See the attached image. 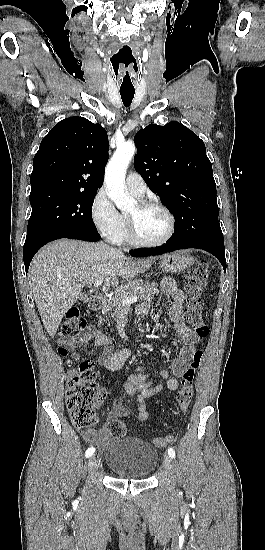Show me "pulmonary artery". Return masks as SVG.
<instances>
[{"instance_id": "pulmonary-artery-1", "label": "pulmonary artery", "mask_w": 265, "mask_h": 550, "mask_svg": "<svg viewBox=\"0 0 265 550\" xmlns=\"http://www.w3.org/2000/svg\"><path fill=\"white\" fill-rule=\"evenodd\" d=\"M126 186L128 191L138 198L143 197L147 189L143 178L136 172L127 175Z\"/></svg>"}]
</instances>
